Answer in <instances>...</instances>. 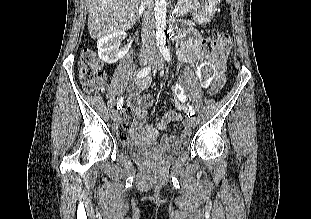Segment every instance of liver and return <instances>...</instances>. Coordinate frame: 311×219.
<instances>
[{
    "label": "liver",
    "instance_id": "6515ba94",
    "mask_svg": "<svg viewBox=\"0 0 311 219\" xmlns=\"http://www.w3.org/2000/svg\"><path fill=\"white\" fill-rule=\"evenodd\" d=\"M141 0H85L92 39L125 31L135 23Z\"/></svg>",
    "mask_w": 311,
    "mask_h": 219
}]
</instances>
